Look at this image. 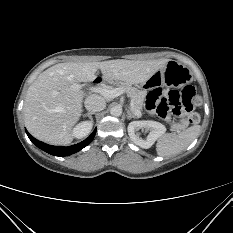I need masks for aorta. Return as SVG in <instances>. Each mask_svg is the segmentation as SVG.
<instances>
[{
	"label": "aorta",
	"mask_w": 233,
	"mask_h": 233,
	"mask_svg": "<svg viewBox=\"0 0 233 233\" xmlns=\"http://www.w3.org/2000/svg\"><path fill=\"white\" fill-rule=\"evenodd\" d=\"M110 114H111L112 116H115V117L121 116V114H122V108H121V106H118V105L113 106V107L110 109Z\"/></svg>",
	"instance_id": "762f6f07"
}]
</instances>
